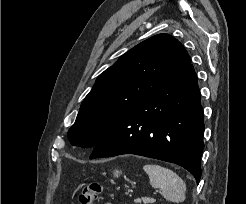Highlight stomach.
Listing matches in <instances>:
<instances>
[{"label": "stomach", "instance_id": "stomach-1", "mask_svg": "<svg viewBox=\"0 0 246 204\" xmlns=\"http://www.w3.org/2000/svg\"><path fill=\"white\" fill-rule=\"evenodd\" d=\"M113 174L115 177H118L119 175L122 174V171L116 169V170H114Z\"/></svg>", "mask_w": 246, "mask_h": 204}]
</instances>
